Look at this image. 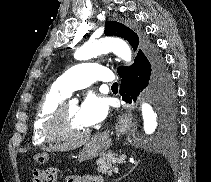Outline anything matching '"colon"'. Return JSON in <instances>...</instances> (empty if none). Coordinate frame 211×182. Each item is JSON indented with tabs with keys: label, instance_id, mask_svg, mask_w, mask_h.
<instances>
[{
	"label": "colon",
	"instance_id": "obj_1",
	"mask_svg": "<svg viewBox=\"0 0 211 182\" xmlns=\"http://www.w3.org/2000/svg\"><path fill=\"white\" fill-rule=\"evenodd\" d=\"M56 178V170L54 168L34 169L32 182H54Z\"/></svg>",
	"mask_w": 211,
	"mask_h": 182
}]
</instances>
